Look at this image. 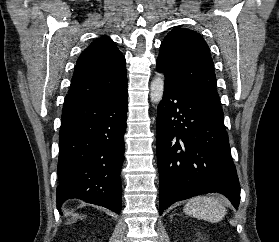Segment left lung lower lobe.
Masks as SVG:
<instances>
[{
  "instance_id": "left-lung-lower-lobe-1",
  "label": "left lung lower lobe",
  "mask_w": 279,
  "mask_h": 242,
  "mask_svg": "<svg viewBox=\"0 0 279 242\" xmlns=\"http://www.w3.org/2000/svg\"><path fill=\"white\" fill-rule=\"evenodd\" d=\"M157 71L165 74L157 116L160 215L177 201L211 192L225 195L237 208L240 185L223 113L163 63L157 62Z\"/></svg>"
}]
</instances>
